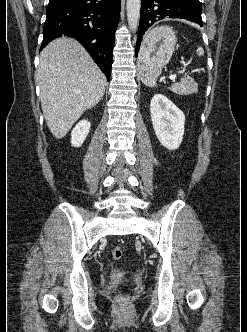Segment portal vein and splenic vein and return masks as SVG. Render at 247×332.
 <instances>
[{
    "instance_id": "obj_1",
    "label": "portal vein and splenic vein",
    "mask_w": 247,
    "mask_h": 332,
    "mask_svg": "<svg viewBox=\"0 0 247 332\" xmlns=\"http://www.w3.org/2000/svg\"><path fill=\"white\" fill-rule=\"evenodd\" d=\"M178 73H179V74H184V73H185V70H181V71H179ZM171 79H172L173 81H175V79H176V75H173V76L171 77Z\"/></svg>"
}]
</instances>
